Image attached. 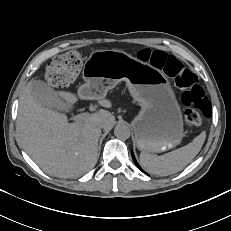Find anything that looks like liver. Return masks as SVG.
I'll return each mask as SVG.
<instances>
[{"label": "liver", "mask_w": 231, "mask_h": 231, "mask_svg": "<svg viewBox=\"0 0 231 231\" xmlns=\"http://www.w3.org/2000/svg\"><path fill=\"white\" fill-rule=\"evenodd\" d=\"M30 81L19 99L18 131L22 145L31 159L45 172L71 178L89 171L97 162L101 126L110 130L114 115L104 109L82 120L68 123L65 114L43 107L31 95ZM68 106L78 101L76 94L57 92ZM104 108L112 103L105 96H86Z\"/></svg>", "instance_id": "1"}]
</instances>
